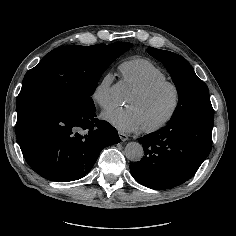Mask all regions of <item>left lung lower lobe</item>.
<instances>
[{
	"mask_svg": "<svg viewBox=\"0 0 236 236\" xmlns=\"http://www.w3.org/2000/svg\"><path fill=\"white\" fill-rule=\"evenodd\" d=\"M213 121L187 119L145 135L144 156L130 164L132 176L146 187L163 190L186 182L212 147Z\"/></svg>",
	"mask_w": 236,
	"mask_h": 236,
	"instance_id": "obj_1",
	"label": "left lung lower lobe"
}]
</instances>
